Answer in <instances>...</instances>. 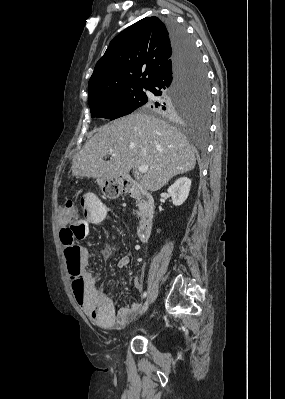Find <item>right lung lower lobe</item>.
<instances>
[{
	"mask_svg": "<svg viewBox=\"0 0 285 399\" xmlns=\"http://www.w3.org/2000/svg\"><path fill=\"white\" fill-rule=\"evenodd\" d=\"M166 26L170 34L173 55L167 68L160 71L149 86L155 96L170 93L191 63L196 49L194 42L183 27L173 20L167 22ZM161 105L168 111L173 107L171 100H165V102H161Z\"/></svg>",
	"mask_w": 285,
	"mask_h": 399,
	"instance_id": "98d812e1",
	"label": "right lung lower lobe"
}]
</instances>
